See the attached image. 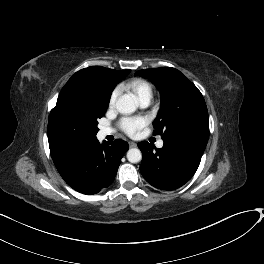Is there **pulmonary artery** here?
Listing matches in <instances>:
<instances>
[{"mask_svg":"<svg viewBox=\"0 0 264 264\" xmlns=\"http://www.w3.org/2000/svg\"><path fill=\"white\" fill-rule=\"evenodd\" d=\"M139 102H140L141 107L145 108L150 104L151 97H149V96L143 97V98L139 99ZM100 131H101V134L103 136L112 134L114 132L113 129H111V128H102ZM163 143H164L163 140L160 139L157 141V146L162 147Z\"/></svg>","mask_w":264,"mask_h":264,"instance_id":"e3ab8cb5","label":"pulmonary artery"}]
</instances>
